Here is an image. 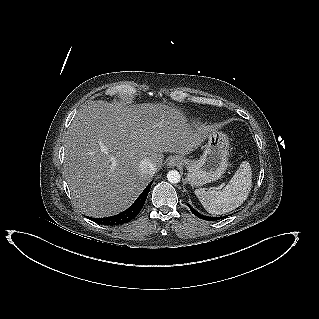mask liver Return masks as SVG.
Returning <instances> with one entry per match:
<instances>
[{
  "label": "liver",
  "instance_id": "liver-1",
  "mask_svg": "<svg viewBox=\"0 0 319 319\" xmlns=\"http://www.w3.org/2000/svg\"><path fill=\"white\" fill-rule=\"evenodd\" d=\"M175 107L93 102L72 120L64 139V175L74 204L90 217L127 209L151 181L139 165H163L164 152L188 155L208 133Z\"/></svg>",
  "mask_w": 319,
  "mask_h": 319
}]
</instances>
